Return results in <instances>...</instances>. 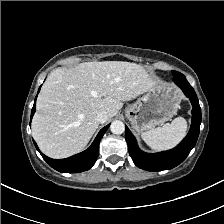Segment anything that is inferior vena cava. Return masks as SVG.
I'll return each instance as SVG.
<instances>
[{"mask_svg": "<svg viewBox=\"0 0 224 224\" xmlns=\"http://www.w3.org/2000/svg\"><path fill=\"white\" fill-rule=\"evenodd\" d=\"M96 120L103 124L108 120V112L105 110L99 111L96 115Z\"/></svg>", "mask_w": 224, "mask_h": 224, "instance_id": "inferior-vena-cava-1", "label": "inferior vena cava"}]
</instances>
